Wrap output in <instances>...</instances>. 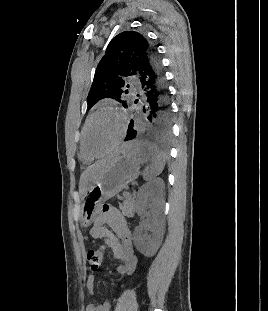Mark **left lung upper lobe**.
<instances>
[{"label": "left lung upper lobe", "instance_id": "obj_1", "mask_svg": "<svg viewBox=\"0 0 268 311\" xmlns=\"http://www.w3.org/2000/svg\"><path fill=\"white\" fill-rule=\"evenodd\" d=\"M149 50L148 40L138 32L125 31L115 36L97 66L87 97L90 108L102 98H113L127 108L124 93H128L129 85L125 78L137 76L140 63L149 59Z\"/></svg>", "mask_w": 268, "mask_h": 311}]
</instances>
